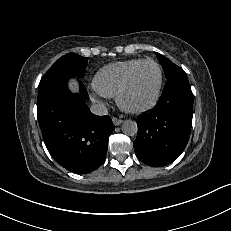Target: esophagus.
<instances>
[{"label": "esophagus", "instance_id": "34e87169", "mask_svg": "<svg viewBox=\"0 0 231 231\" xmlns=\"http://www.w3.org/2000/svg\"><path fill=\"white\" fill-rule=\"evenodd\" d=\"M112 122H113V124H114L115 126H118V125H120V124L123 122V120H122V119H119V118H117V117H112Z\"/></svg>", "mask_w": 231, "mask_h": 231}]
</instances>
